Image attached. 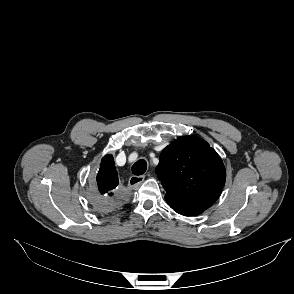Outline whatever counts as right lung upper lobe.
<instances>
[{
  "label": "right lung upper lobe",
  "mask_w": 294,
  "mask_h": 294,
  "mask_svg": "<svg viewBox=\"0 0 294 294\" xmlns=\"http://www.w3.org/2000/svg\"><path fill=\"white\" fill-rule=\"evenodd\" d=\"M119 183L118 173L111 155L102 158L97 175V186L101 194L111 197Z\"/></svg>",
  "instance_id": "cb5924a9"
}]
</instances>
